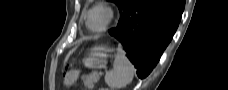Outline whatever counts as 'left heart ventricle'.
Returning <instances> with one entry per match:
<instances>
[{
  "mask_svg": "<svg viewBox=\"0 0 228 90\" xmlns=\"http://www.w3.org/2000/svg\"><path fill=\"white\" fill-rule=\"evenodd\" d=\"M106 21V13L102 9L94 10L89 19V25L92 29H99L101 28Z\"/></svg>",
  "mask_w": 228,
  "mask_h": 90,
  "instance_id": "left-heart-ventricle-1",
  "label": "left heart ventricle"
}]
</instances>
